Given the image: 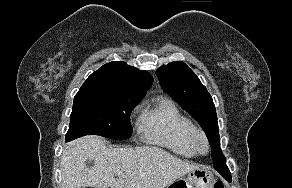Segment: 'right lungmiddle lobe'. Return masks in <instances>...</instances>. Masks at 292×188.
<instances>
[{"mask_svg":"<svg viewBox=\"0 0 292 188\" xmlns=\"http://www.w3.org/2000/svg\"><path fill=\"white\" fill-rule=\"evenodd\" d=\"M141 99L121 90L82 85L74 98L66 141L87 134L115 140L130 138V113Z\"/></svg>","mask_w":292,"mask_h":188,"instance_id":"right-lung-middle-lobe-1","label":"right lung middle lobe"}]
</instances>
